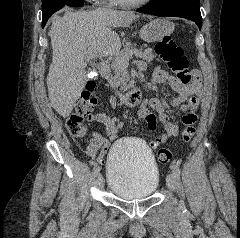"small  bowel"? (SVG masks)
Instances as JSON below:
<instances>
[{"label": "small bowel", "mask_w": 240, "mask_h": 238, "mask_svg": "<svg viewBox=\"0 0 240 238\" xmlns=\"http://www.w3.org/2000/svg\"><path fill=\"white\" fill-rule=\"evenodd\" d=\"M141 70H145V64L138 63ZM194 79L191 83L183 84L176 77L170 75L164 69L158 67L152 74V89L158 84L168 82L173 90L178 93V96L171 99L168 104L184 112L182 118L183 124L194 125L197 121L196 111L199 106V97L202 94L201 75L197 70H193ZM108 102L113 109H117L118 101L116 97L109 96ZM139 117L143 120L149 131L156 132L158 130V122L162 125L161 134L150 142V147L156 149L163 144L167 139L177 136L179 132L178 126L171 122L167 115L163 103L158 98H150L141 100L139 103ZM88 119L92 122L101 123L105 126L107 138L95 134V140L99 142L101 147V154H98V166H105V154H108L110 148V141L118 138L119 129L123 123L119 118H110L105 113H93L88 115Z\"/></svg>", "instance_id": "obj_1"}]
</instances>
